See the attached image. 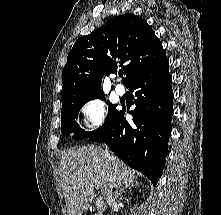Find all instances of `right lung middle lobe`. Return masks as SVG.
<instances>
[{
    "instance_id": "dd1d6c3e",
    "label": "right lung middle lobe",
    "mask_w": 221,
    "mask_h": 215,
    "mask_svg": "<svg viewBox=\"0 0 221 215\" xmlns=\"http://www.w3.org/2000/svg\"><path fill=\"white\" fill-rule=\"evenodd\" d=\"M100 98L101 100H105L104 95H99L90 99L66 103L62 105L61 110V131L64 136H68L71 133H73L74 139H84L86 137H91L93 135H96L105 129H107L114 121V119L118 115V111H116V106L112 105L110 102H108L109 110L108 115L105 119V124L101 126L100 128L92 131V132H86L85 130L79 128V124H77L75 119L78 118V112L81 109V107L88 102L89 100Z\"/></svg>"
}]
</instances>
